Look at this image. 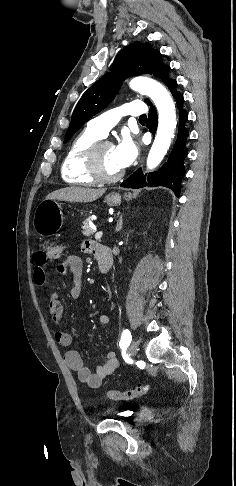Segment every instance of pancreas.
<instances>
[{
  "instance_id": "1",
  "label": "pancreas",
  "mask_w": 236,
  "mask_h": 486,
  "mask_svg": "<svg viewBox=\"0 0 236 486\" xmlns=\"http://www.w3.org/2000/svg\"><path fill=\"white\" fill-rule=\"evenodd\" d=\"M89 222H90V219H86L84 221V223H83L84 225L82 227V234L86 237H89V236L93 235V233H94L93 229L89 225Z\"/></svg>"
}]
</instances>
